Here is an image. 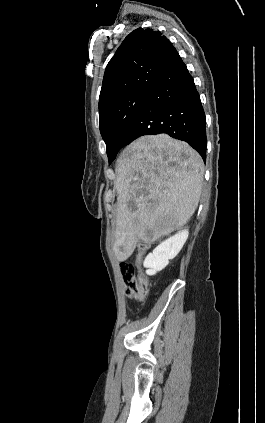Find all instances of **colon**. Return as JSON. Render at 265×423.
Returning <instances> with one entry per match:
<instances>
[{"label": "colon", "instance_id": "obj_1", "mask_svg": "<svg viewBox=\"0 0 265 423\" xmlns=\"http://www.w3.org/2000/svg\"><path fill=\"white\" fill-rule=\"evenodd\" d=\"M120 271L126 283V295L130 298L143 299L148 292V281L139 272L138 263L126 261L120 264Z\"/></svg>", "mask_w": 265, "mask_h": 423}]
</instances>
